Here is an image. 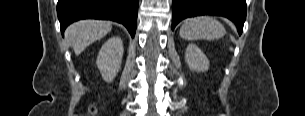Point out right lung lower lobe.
<instances>
[{"instance_id":"right-lung-lower-lobe-1","label":"right lung lower lobe","mask_w":305,"mask_h":116,"mask_svg":"<svg viewBox=\"0 0 305 116\" xmlns=\"http://www.w3.org/2000/svg\"><path fill=\"white\" fill-rule=\"evenodd\" d=\"M139 0H58L61 32L74 21L86 18L112 20L125 25L132 37L137 27Z\"/></svg>"}]
</instances>
